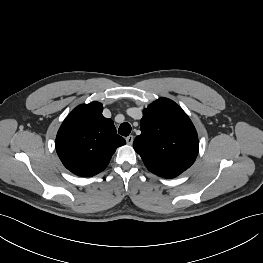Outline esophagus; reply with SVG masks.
Masks as SVG:
<instances>
[{
    "label": "esophagus",
    "mask_w": 263,
    "mask_h": 263,
    "mask_svg": "<svg viewBox=\"0 0 263 263\" xmlns=\"http://www.w3.org/2000/svg\"><path fill=\"white\" fill-rule=\"evenodd\" d=\"M133 141H134V136L133 135H129V136L126 137V142H127L128 145H132Z\"/></svg>",
    "instance_id": "34e87169"
}]
</instances>
